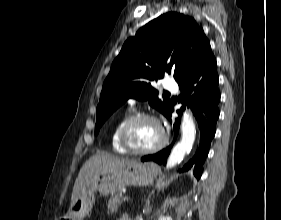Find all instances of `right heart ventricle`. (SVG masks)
Masks as SVG:
<instances>
[{
    "mask_svg": "<svg viewBox=\"0 0 281 220\" xmlns=\"http://www.w3.org/2000/svg\"><path fill=\"white\" fill-rule=\"evenodd\" d=\"M132 112L128 111L125 114H123L115 123L111 136H110V142H111V148L114 153L119 155H128L129 153L121 146L119 141V132L123 124L132 117Z\"/></svg>",
    "mask_w": 281,
    "mask_h": 220,
    "instance_id": "1",
    "label": "right heart ventricle"
}]
</instances>
